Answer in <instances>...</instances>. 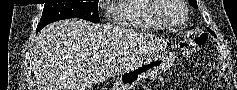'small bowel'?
<instances>
[{
	"label": "small bowel",
	"mask_w": 237,
	"mask_h": 90,
	"mask_svg": "<svg viewBox=\"0 0 237 90\" xmlns=\"http://www.w3.org/2000/svg\"><path fill=\"white\" fill-rule=\"evenodd\" d=\"M188 90H200L198 87H191Z\"/></svg>",
	"instance_id": "small-bowel-1"
}]
</instances>
